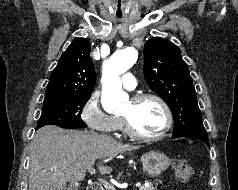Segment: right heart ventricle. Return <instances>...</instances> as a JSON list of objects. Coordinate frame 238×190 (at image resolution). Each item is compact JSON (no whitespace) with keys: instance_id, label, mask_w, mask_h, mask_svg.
Returning <instances> with one entry per match:
<instances>
[{"instance_id":"e07e8e85","label":"right heart ventricle","mask_w":238,"mask_h":190,"mask_svg":"<svg viewBox=\"0 0 238 190\" xmlns=\"http://www.w3.org/2000/svg\"><path fill=\"white\" fill-rule=\"evenodd\" d=\"M116 123H117L116 129H122L123 125H122L121 119L119 117H116Z\"/></svg>"}]
</instances>
